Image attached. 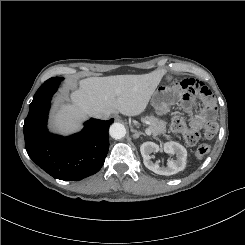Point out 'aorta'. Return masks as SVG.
<instances>
[{"mask_svg":"<svg viewBox=\"0 0 245 245\" xmlns=\"http://www.w3.org/2000/svg\"><path fill=\"white\" fill-rule=\"evenodd\" d=\"M109 134L114 139H121L126 134V129L121 123H113L109 128Z\"/></svg>","mask_w":245,"mask_h":245,"instance_id":"aorta-1","label":"aorta"}]
</instances>
